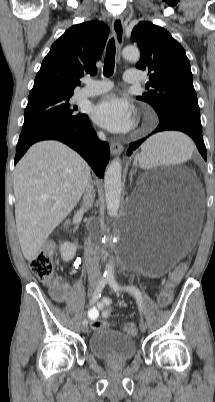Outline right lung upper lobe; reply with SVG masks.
Returning <instances> with one entry per match:
<instances>
[{
    "instance_id": "right-lung-upper-lobe-1",
    "label": "right lung upper lobe",
    "mask_w": 215,
    "mask_h": 402,
    "mask_svg": "<svg viewBox=\"0 0 215 402\" xmlns=\"http://www.w3.org/2000/svg\"><path fill=\"white\" fill-rule=\"evenodd\" d=\"M109 35L101 21H89L69 28L51 47L36 75L29 97L60 94L73 95L79 78L95 75Z\"/></svg>"
}]
</instances>
